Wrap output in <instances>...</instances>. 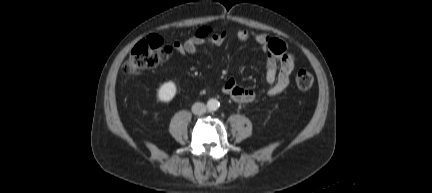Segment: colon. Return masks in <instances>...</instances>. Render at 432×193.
<instances>
[{
  "label": "colon",
  "instance_id": "obj_1",
  "mask_svg": "<svg viewBox=\"0 0 432 193\" xmlns=\"http://www.w3.org/2000/svg\"><path fill=\"white\" fill-rule=\"evenodd\" d=\"M171 53V47L159 36H149L134 46L122 70L127 75L139 74L167 61ZM295 82L299 89L308 90L313 86L314 79L311 73L302 69L297 72Z\"/></svg>",
  "mask_w": 432,
  "mask_h": 193
}]
</instances>
